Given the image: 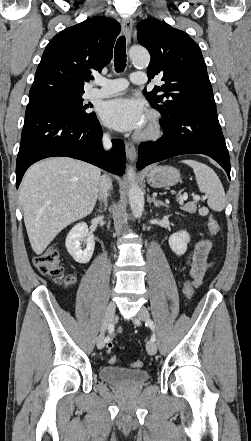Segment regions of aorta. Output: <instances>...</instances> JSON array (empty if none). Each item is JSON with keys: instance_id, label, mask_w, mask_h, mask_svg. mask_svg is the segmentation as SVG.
<instances>
[{"instance_id": "aorta-1", "label": "aorta", "mask_w": 251, "mask_h": 441, "mask_svg": "<svg viewBox=\"0 0 251 441\" xmlns=\"http://www.w3.org/2000/svg\"><path fill=\"white\" fill-rule=\"evenodd\" d=\"M129 55L136 67L146 68L149 65L150 55L146 49L133 47L130 49ZM127 175L129 179L128 197L130 207L134 216L139 218L144 210V194L136 182V175L131 166L127 168Z\"/></svg>"}]
</instances>
